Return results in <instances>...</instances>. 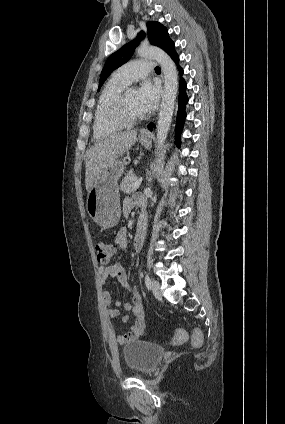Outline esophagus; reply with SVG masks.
Wrapping results in <instances>:
<instances>
[{
	"label": "esophagus",
	"mask_w": 285,
	"mask_h": 424,
	"mask_svg": "<svg viewBox=\"0 0 285 424\" xmlns=\"http://www.w3.org/2000/svg\"><path fill=\"white\" fill-rule=\"evenodd\" d=\"M142 136H149V133L144 131V132H142Z\"/></svg>",
	"instance_id": "obj_1"
}]
</instances>
